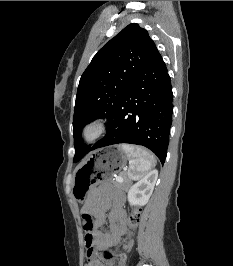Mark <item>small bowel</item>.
Listing matches in <instances>:
<instances>
[{
    "label": "small bowel",
    "mask_w": 233,
    "mask_h": 266,
    "mask_svg": "<svg viewBox=\"0 0 233 266\" xmlns=\"http://www.w3.org/2000/svg\"><path fill=\"white\" fill-rule=\"evenodd\" d=\"M108 212V214H107ZM83 213L92 218V227L84 229L86 246V266H112L97 258L98 251L115 246L126 232V215L124 197L110 186H101L91 193L86 201ZM109 220V229L103 230L106 218Z\"/></svg>",
    "instance_id": "c3829d8e"
}]
</instances>
